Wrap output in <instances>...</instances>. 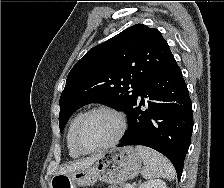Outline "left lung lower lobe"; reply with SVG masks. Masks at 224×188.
Returning <instances> with one entry per match:
<instances>
[{
	"label": "left lung lower lobe",
	"instance_id": "0a47b994",
	"mask_svg": "<svg viewBox=\"0 0 224 188\" xmlns=\"http://www.w3.org/2000/svg\"><path fill=\"white\" fill-rule=\"evenodd\" d=\"M192 129V104L173 59L141 87L131 109L129 128L118 147L138 144L159 151L172 162L179 180Z\"/></svg>",
	"mask_w": 224,
	"mask_h": 188
}]
</instances>
